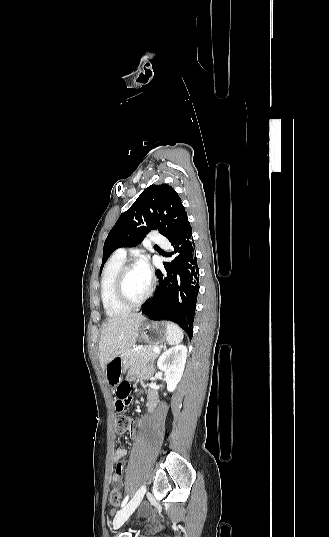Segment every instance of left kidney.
Instances as JSON below:
<instances>
[{
  "label": "left kidney",
  "instance_id": "1",
  "mask_svg": "<svg viewBox=\"0 0 329 537\" xmlns=\"http://www.w3.org/2000/svg\"><path fill=\"white\" fill-rule=\"evenodd\" d=\"M187 358V348L177 345L164 351L157 361V367L164 371L167 390L173 392L181 377Z\"/></svg>",
  "mask_w": 329,
  "mask_h": 537
}]
</instances>
